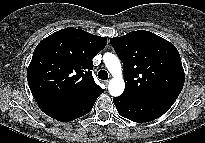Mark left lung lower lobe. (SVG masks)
<instances>
[{"label":"left lung lower lobe","instance_id":"obj_1","mask_svg":"<svg viewBox=\"0 0 205 143\" xmlns=\"http://www.w3.org/2000/svg\"><path fill=\"white\" fill-rule=\"evenodd\" d=\"M177 95H162L147 99H130L119 96L113 99L118 113L134 122H149L169 110Z\"/></svg>","mask_w":205,"mask_h":143}]
</instances>
